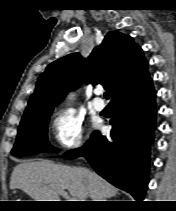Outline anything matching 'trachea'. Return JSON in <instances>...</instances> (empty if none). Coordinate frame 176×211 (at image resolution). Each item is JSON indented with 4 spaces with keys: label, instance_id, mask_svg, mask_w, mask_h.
Instances as JSON below:
<instances>
[{
    "label": "trachea",
    "instance_id": "1",
    "mask_svg": "<svg viewBox=\"0 0 176 211\" xmlns=\"http://www.w3.org/2000/svg\"><path fill=\"white\" fill-rule=\"evenodd\" d=\"M109 96H110V95H109L108 92H105V93H104V97H105L106 99H109Z\"/></svg>",
    "mask_w": 176,
    "mask_h": 211
}]
</instances>
